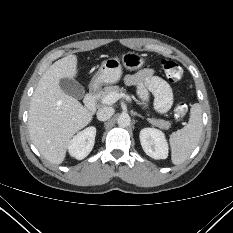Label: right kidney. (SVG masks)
I'll return each instance as SVG.
<instances>
[{"instance_id":"1","label":"right kidney","mask_w":233,"mask_h":233,"mask_svg":"<svg viewBox=\"0 0 233 233\" xmlns=\"http://www.w3.org/2000/svg\"><path fill=\"white\" fill-rule=\"evenodd\" d=\"M95 136L96 128L93 126L80 131L68 145L70 155L78 160L84 159L93 149Z\"/></svg>"}]
</instances>
